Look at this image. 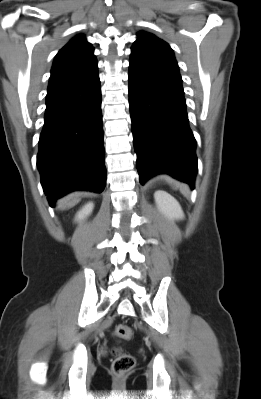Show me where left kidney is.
Returning a JSON list of instances; mask_svg holds the SVG:
<instances>
[{
	"label": "left kidney",
	"instance_id": "5707ae66",
	"mask_svg": "<svg viewBox=\"0 0 261 399\" xmlns=\"http://www.w3.org/2000/svg\"><path fill=\"white\" fill-rule=\"evenodd\" d=\"M158 209L169 219L181 220L184 218L183 210L179 202L169 193L158 190L154 193Z\"/></svg>",
	"mask_w": 261,
	"mask_h": 399
}]
</instances>
